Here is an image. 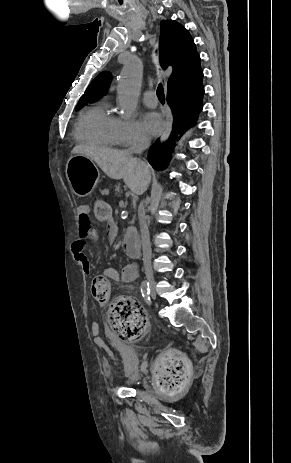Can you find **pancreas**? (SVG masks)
I'll use <instances>...</instances> for the list:
<instances>
[{
	"instance_id": "pancreas-1",
	"label": "pancreas",
	"mask_w": 291,
	"mask_h": 463,
	"mask_svg": "<svg viewBox=\"0 0 291 463\" xmlns=\"http://www.w3.org/2000/svg\"><path fill=\"white\" fill-rule=\"evenodd\" d=\"M110 189L113 191V193H114V195L116 197H121L122 196L123 191L120 189L119 186H116V185L111 186Z\"/></svg>"
}]
</instances>
